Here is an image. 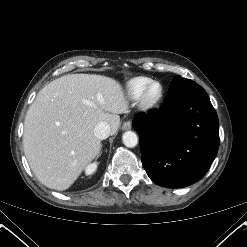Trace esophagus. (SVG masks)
I'll return each mask as SVG.
<instances>
[{"label": "esophagus", "instance_id": "34e87169", "mask_svg": "<svg viewBox=\"0 0 247 247\" xmlns=\"http://www.w3.org/2000/svg\"><path fill=\"white\" fill-rule=\"evenodd\" d=\"M131 127H132L131 121H125L122 125L123 130H129L131 129Z\"/></svg>", "mask_w": 247, "mask_h": 247}]
</instances>
